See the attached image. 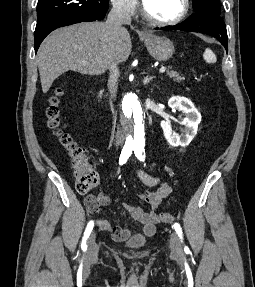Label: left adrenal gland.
Wrapping results in <instances>:
<instances>
[{
  "label": "left adrenal gland",
  "mask_w": 255,
  "mask_h": 287,
  "mask_svg": "<svg viewBox=\"0 0 255 287\" xmlns=\"http://www.w3.org/2000/svg\"><path fill=\"white\" fill-rule=\"evenodd\" d=\"M151 80H153V78H151V76H150V78H145L144 84H150Z\"/></svg>",
  "instance_id": "a2214340"
}]
</instances>
